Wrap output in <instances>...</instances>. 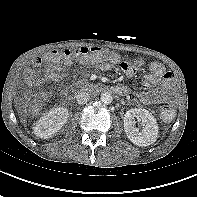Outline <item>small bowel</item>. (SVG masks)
<instances>
[{
	"mask_svg": "<svg viewBox=\"0 0 197 197\" xmlns=\"http://www.w3.org/2000/svg\"><path fill=\"white\" fill-rule=\"evenodd\" d=\"M128 66L122 67L127 76H133L136 72V63L127 61ZM41 59H36L35 64L39 65ZM107 66H104L106 68ZM65 68L59 63H50L45 67V77L49 80H56L65 77ZM145 90L137 94L143 104H160L169 100L173 90V77L165 67L154 62L150 65L148 73L143 78Z\"/></svg>",
	"mask_w": 197,
	"mask_h": 197,
	"instance_id": "obj_1",
	"label": "small bowel"
}]
</instances>
